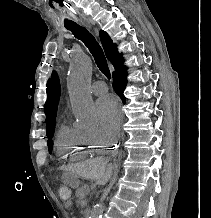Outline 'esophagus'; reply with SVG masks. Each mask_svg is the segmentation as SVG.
Returning <instances> with one entry per match:
<instances>
[{
    "mask_svg": "<svg viewBox=\"0 0 211 218\" xmlns=\"http://www.w3.org/2000/svg\"><path fill=\"white\" fill-rule=\"evenodd\" d=\"M83 25H85L87 28L91 29L92 28V25L89 24V23H83Z\"/></svg>",
    "mask_w": 211,
    "mask_h": 218,
    "instance_id": "34e87169",
    "label": "esophagus"
}]
</instances>
